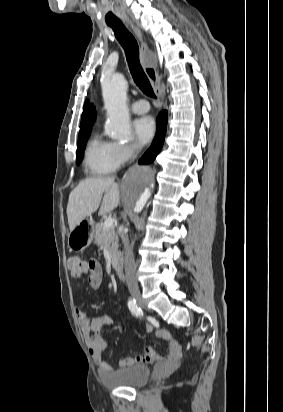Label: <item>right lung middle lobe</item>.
I'll return each instance as SVG.
<instances>
[{
  "label": "right lung middle lobe",
  "instance_id": "right-lung-middle-lobe-1",
  "mask_svg": "<svg viewBox=\"0 0 283 412\" xmlns=\"http://www.w3.org/2000/svg\"><path fill=\"white\" fill-rule=\"evenodd\" d=\"M89 135L90 133H86L84 135L79 136L78 145H77V158H76L77 163H80L83 157V150L85 149L86 142L89 138Z\"/></svg>",
  "mask_w": 283,
  "mask_h": 412
}]
</instances>
